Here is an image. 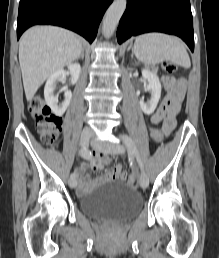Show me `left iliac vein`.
<instances>
[{
	"label": "left iliac vein",
	"mask_w": 219,
	"mask_h": 258,
	"mask_svg": "<svg viewBox=\"0 0 219 258\" xmlns=\"http://www.w3.org/2000/svg\"><path fill=\"white\" fill-rule=\"evenodd\" d=\"M91 145L97 150L108 152L110 154H123L125 152L124 147L119 144L103 145L93 140ZM139 185L143 189L147 188L148 186V178L143 171L139 175Z\"/></svg>",
	"instance_id": "1"
}]
</instances>
